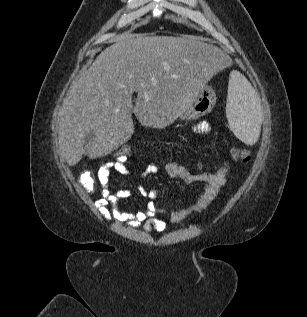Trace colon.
<instances>
[{"mask_svg": "<svg viewBox=\"0 0 307 317\" xmlns=\"http://www.w3.org/2000/svg\"><path fill=\"white\" fill-rule=\"evenodd\" d=\"M112 154L115 157V160L124 159L127 162H129L130 158L133 157L134 155H140V156L143 155L141 152L138 151V149L135 146L128 145V144L119 145L117 148L113 150ZM231 154L233 159L236 162L243 165L249 163L251 158L249 151L242 148H233L231 150ZM168 161H173V160L169 158H156L154 159L153 162L158 163L160 166H162ZM220 167L227 168L226 165H219L215 167L214 170L216 171ZM80 183L87 193H93L97 189V184H98L97 179L94 176V174L89 170H85L81 174Z\"/></svg>", "mask_w": 307, "mask_h": 317, "instance_id": "obj_1", "label": "colon"}]
</instances>
